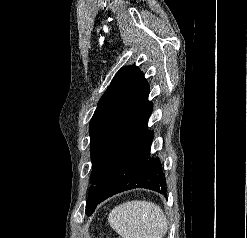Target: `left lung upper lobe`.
<instances>
[{"label":"left lung upper lobe","mask_w":247,"mask_h":238,"mask_svg":"<svg viewBox=\"0 0 247 238\" xmlns=\"http://www.w3.org/2000/svg\"><path fill=\"white\" fill-rule=\"evenodd\" d=\"M149 91L148 82L137 66L124 67L97 105L89 127L93 186L86 202L88 216L97 206L98 187L106 169L152 110Z\"/></svg>","instance_id":"1"}]
</instances>
